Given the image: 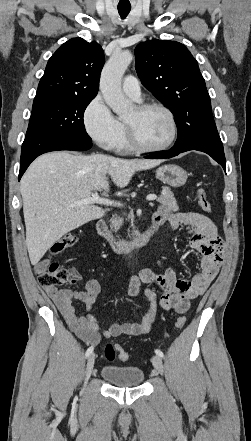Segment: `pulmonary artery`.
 <instances>
[{
	"mask_svg": "<svg viewBox=\"0 0 251 441\" xmlns=\"http://www.w3.org/2000/svg\"><path fill=\"white\" fill-rule=\"evenodd\" d=\"M123 91L134 100H139L141 96V88L139 80L133 75H127L122 83Z\"/></svg>",
	"mask_w": 251,
	"mask_h": 441,
	"instance_id": "1",
	"label": "pulmonary artery"
}]
</instances>
